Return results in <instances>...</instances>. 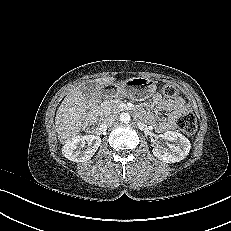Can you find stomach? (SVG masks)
<instances>
[{"label": "stomach", "mask_w": 231, "mask_h": 231, "mask_svg": "<svg viewBox=\"0 0 231 231\" xmlns=\"http://www.w3.org/2000/svg\"><path fill=\"white\" fill-rule=\"evenodd\" d=\"M156 82L145 77H133L118 84H112L106 90V97L124 96L135 101H143L154 95Z\"/></svg>", "instance_id": "stomach-1"}]
</instances>
